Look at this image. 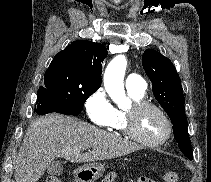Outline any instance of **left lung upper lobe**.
<instances>
[{
    "instance_id": "obj_1",
    "label": "left lung upper lobe",
    "mask_w": 211,
    "mask_h": 182,
    "mask_svg": "<svg viewBox=\"0 0 211 182\" xmlns=\"http://www.w3.org/2000/svg\"><path fill=\"white\" fill-rule=\"evenodd\" d=\"M142 65L152 82L156 100L171 119L174 138L180 150L192 160L193 153L187 130L183 89L175 66L167 57L152 49L144 52Z\"/></svg>"
}]
</instances>
